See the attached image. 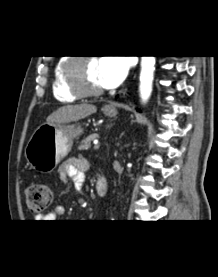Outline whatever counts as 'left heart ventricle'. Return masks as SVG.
Returning a JSON list of instances; mask_svg holds the SVG:
<instances>
[{
    "label": "left heart ventricle",
    "instance_id": "1",
    "mask_svg": "<svg viewBox=\"0 0 218 277\" xmlns=\"http://www.w3.org/2000/svg\"><path fill=\"white\" fill-rule=\"evenodd\" d=\"M85 84L88 88H101L98 77V62L90 60L85 67Z\"/></svg>",
    "mask_w": 218,
    "mask_h": 277
}]
</instances>
